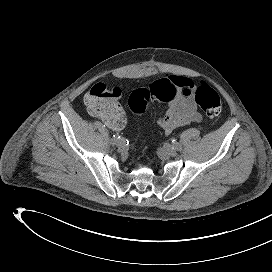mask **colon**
Returning a JSON list of instances; mask_svg holds the SVG:
<instances>
[{
  "label": "colon",
  "instance_id": "obj_1",
  "mask_svg": "<svg viewBox=\"0 0 272 272\" xmlns=\"http://www.w3.org/2000/svg\"><path fill=\"white\" fill-rule=\"evenodd\" d=\"M178 92L177 84L170 78L153 82L147 88L134 90L128 100L129 108L135 114H143L150 100L171 101ZM189 94L192 89H185ZM121 95L119 88H107L104 84H95L85 96V103L91 113L99 117L109 115L116 108L117 98ZM196 103L210 118L222 113V101L219 94L208 84L202 82L194 88Z\"/></svg>",
  "mask_w": 272,
  "mask_h": 272
}]
</instances>
